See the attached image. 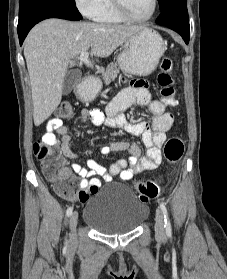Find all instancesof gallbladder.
<instances>
[{
    "mask_svg": "<svg viewBox=\"0 0 227 279\" xmlns=\"http://www.w3.org/2000/svg\"><path fill=\"white\" fill-rule=\"evenodd\" d=\"M81 79V72L79 70H68L62 87L63 94L67 95L69 94L72 89L75 87V85L80 81Z\"/></svg>",
    "mask_w": 227,
    "mask_h": 279,
    "instance_id": "1",
    "label": "gallbladder"
}]
</instances>
